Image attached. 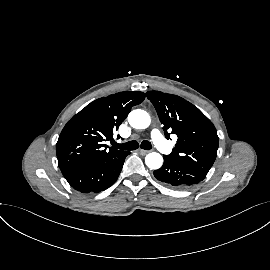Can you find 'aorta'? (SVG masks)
Wrapping results in <instances>:
<instances>
[{
	"mask_svg": "<svg viewBox=\"0 0 270 270\" xmlns=\"http://www.w3.org/2000/svg\"><path fill=\"white\" fill-rule=\"evenodd\" d=\"M129 124L136 129H145L151 123L149 114L141 109H136L130 112L128 115ZM145 163L150 169H159L163 164V157L156 152H152L146 155Z\"/></svg>",
	"mask_w": 270,
	"mask_h": 270,
	"instance_id": "1",
	"label": "aorta"
}]
</instances>
